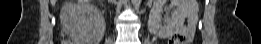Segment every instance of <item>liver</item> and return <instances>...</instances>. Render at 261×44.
<instances>
[{
  "mask_svg": "<svg viewBox=\"0 0 261 44\" xmlns=\"http://www.w3.org/2000/svg\"><path fill=\"white\" fill-rule=\"evenodd\" d=\"M88 4V0H80ZM88 5H74L71 1L66 2L62 9L61 18L64 28L70 33L73 42H87L89 25L85 19Z\"/></svg>",
  "mask_w": 261,
  "mask_h": 44,
  "instance_id": "obj_1",
  "label": "liver"
}]
</instances>
